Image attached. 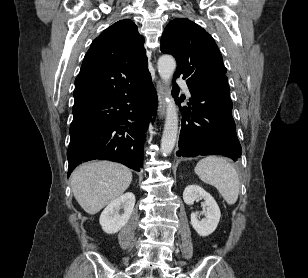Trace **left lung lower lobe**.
I'll return each mask as SVG.
<instances>
[{
    "mask_svg": "<svg viewBox=\"0 0 308 278\" xmlns=\"http://www.w3.org/2000/svg\"><path fill=\"white\" fill-rule=\"evenodd\" d=\"M175 79V78H174ZM192 108H181L182 124L177 156L224 155L237 160L242 153L232 117L233 103L227 77L189 87ZM179 88L173 86L178 98Z\"/></svg>",
    "mask_w": 308,
    "mask_h": 278,
    "instance_id": "0a47b994",
    "label": "left lung lower lobe"
}]
</instances>
